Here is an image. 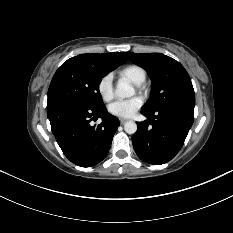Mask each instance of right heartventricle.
I'll use <instances>...</instances> for the list:
<instances>
[{
  "label": "right heart ventricle",
  "instance_id": "1",
  "mask_svg": "<svg viewBox=\"0 0 233 233\" xmlns=\"http://www.w3.org/2000/svg\"><path fill=\"white\" fill-rule=\"evenodd\" d=\"M119 75L122 78L128 79L129 81H131L132 83L136 85H140L144 83L146 80L145 69L142 66L136 65V64H130V65L123 67L119 71Z\"/></svg>",
  "mask_w": 233,
  "mask_h": 233
}]
</instances>
